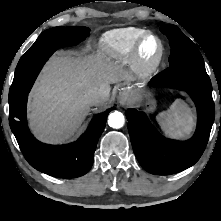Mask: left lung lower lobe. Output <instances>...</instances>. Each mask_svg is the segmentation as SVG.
Masks as SVG:
<instances>
[{
    "label": "left lung lower lobe",
    "mask_w": 221,
    "mask_h": 221,
    "mask_svg": "<svg viewBox=\"0 0 221 221\" xmlns=\"http://www.w3.org/2000/svg\"><path fill=\"white\" fill-rule=\"evenodd\" d=\"M149 85L184 90L197 107L196 132L187 141L163 137L143 112L136 109L125 112L132 147L141 166L156 175L175 174L194 165L206 147L215 114L211 81L206 72L187 67H168L153 77Z\"/></svg>",
    "instance_id": "obj_1"
}]
</instances>
